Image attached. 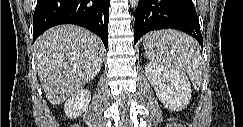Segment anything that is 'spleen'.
Returning a JSON list of instances; mask_svg holds the SVG:
<instances>
[{
	"label": "spleen",
	"mask_w": 243,
	"mask_h": 127,
	"mask_svg": "<svg viewBox=\"0 0 243 127\" xmlns=\"http://www.w3.org/2000/svg\"><path fill=\"white\" fill-rule=\"evenodd\" d=\"M146 56L152 63L165 68L184 70L193 85L199 88L202 81V56L196 41L187 34L164 30L146 36Z\"/></svg>",
	"instance_id": "1"
}]
</instances>
